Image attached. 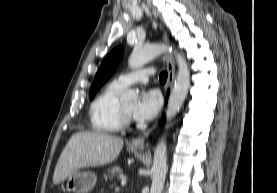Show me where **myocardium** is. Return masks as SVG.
Masks as SVG:
<instances>
[{
	"label": "myocardium",
	"instance_id": "myocardium-1",
	"mask_svg": "<svg viewBox=\"0 0 277 193\" xmlns=\"http://www.w3.org/2000/svg\"><path fill=\"white\" fill-rule=\"evenodd\" d=\"M121 115L123 118L124 125H129L132 122L131 114H129L123 106H121Z\"/></svg>",
	"mask_w": 277,
	"mask_h": 193
}]
</instances>
